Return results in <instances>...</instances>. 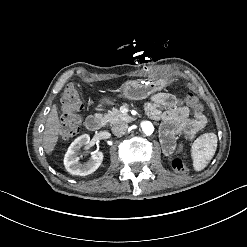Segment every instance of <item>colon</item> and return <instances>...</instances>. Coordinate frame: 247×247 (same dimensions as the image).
I'll use <instances>...</instances> for the list:
<instances>
[{
	"label": "colon",
	"mask_w": 247,
	"mask_h": 247,
	"mask_svg": "<svg viewBox=\"0 0 247 247\" xmlns=\"http://www.w3.org/2000/svg\"><path fill=\"white\" fill-rule=\"evenodd\" d=\"M185 101L196 109V113L200 114L202 111V105L198 98L191 92L184 94ZM83 107V101L81 94L75 85H68L63 91L60 99V134L62 139H73L81 124V110ZM172 170L177 174L186 175L189 173V168L186 162L181 158H176L173 164L170 162Z\"/></svg>",
	"instance_id": "5ec220e1"
}]
</instances>
